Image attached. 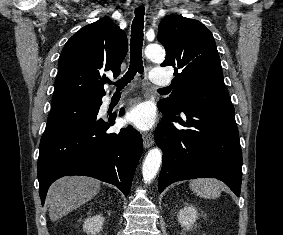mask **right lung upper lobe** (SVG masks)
Returning <instances> with one entry per match:
<instances>
[{"label":"right lung upper lobe","mask_w":283,"mask_h":235,"mask_svg":"<svg viewBox=\"0 0 283 235\" xmlns=\"http://www.w3.org/2000/svg\"><path fill=\"white\" fill-rule=\"evenodd\" d=\"M127 37L108 17L86 25L65 44L53 95V103L73 98L105 95L104 71L120 74L127 53Z\"/></svg>","instance_id":"obj_1"}]
</instances>
